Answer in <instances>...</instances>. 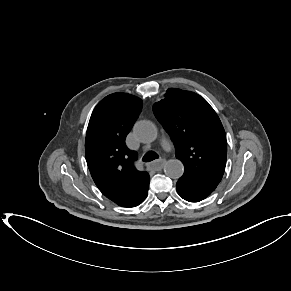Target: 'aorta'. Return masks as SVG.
I'll return each mask as SVG.
<instances>
[{"label": "aorta", "instance_id": "1", "mask_svg": "<svg viewBox=\"0 0 291 291\" xmlns=\"http://www.w3.org/2000/svg\"><path fill=\"white\" fill-rule=\"evenodd\" d=\"M136 138L142 143H152L158 136L157 127L151 121H140L134 128ZM165 173L173 179L180 178L184 173V165L178 159L169 160L165 165Z\"/></svg>", "mask_w": 291, "mask_h": 291}]
</instances>
